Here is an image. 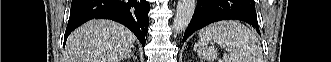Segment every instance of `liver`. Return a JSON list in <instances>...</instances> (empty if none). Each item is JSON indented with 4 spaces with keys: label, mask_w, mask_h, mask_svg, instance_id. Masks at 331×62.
Returning a JSON list of instances; mask_svg holds the SVG:
<instances>
[{
    "label": "liver",
    "mask_w": 331,
    "mask_h": 62,
    "mask_svg": "<svg viewBox=\"0 0 331 62\" xmlns=\"http://www.w3.org/2000/svg\"><path fill=\"white\" fill-rule=\"evenodd\" d=\"M135 39L119 23L91 20L70 34L64 62H120L130 55Z\"/></svg>",
    "instance_id": "liver-1"
}]
</instances>
